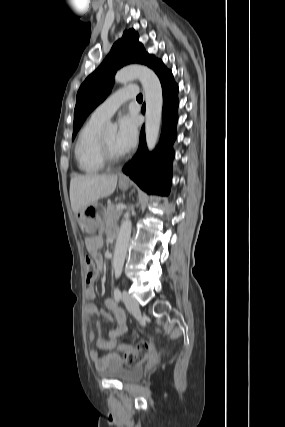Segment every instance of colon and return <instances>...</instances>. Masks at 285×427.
<instances>
[{
    "instance_id": "obj_1",
    "label": "colon",
    "mask_w": 285,
    "mask_h": 427,
    "mask_svg": "<svg viewBox=\"0 0 285 427\" xmlns=\"http://www.w3.org/2000/svg\"><path fill=\"white\" fill-rule=\"evenodd\" d=\"M85 266H86V283L89 285L93 282L96 274V267L93 259L90 257H87L85 259ZM120 350L123 351L124 353V361L126 365L129 367H132V366L138 365L147 357H149L153 352V346L151 342L142 341L138 343L135 347L122 345L120 347Z\"/></svg>"
}]
</instances>
